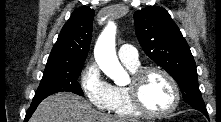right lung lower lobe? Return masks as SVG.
I'll return each mask as SVG.
<instances>
[{
    "label": "right lung lower lobe",
    "mask_w": 221,
    "mask_h": 122,
    "mask_svg": "<svg viewBox=\"0 0 221 122\" xmlns=\"http://www.w3.org/2000/svg\"><path fill=\"white\" fill-rule=\"evenodd\" d=\"M41 101H37V102H32L31 106L29 107L26 116H25V121H28L29 118L31 117V115L33 114V112L35 111V109L37 108V106L39 105Z\"/></svg>",
    "instance_id": "1"
}]
</instances>
